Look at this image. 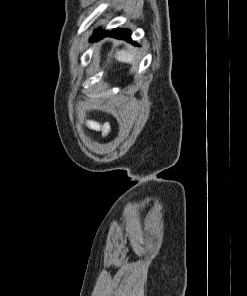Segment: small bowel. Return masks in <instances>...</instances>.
I'll return each mask as SVG.
<instances>
[{"label":"small bowel","mask_w":247,"mask_h":296,"mask_svg":"<svg viewBox=\"0 0 247 296\" xmlns=\"http://www.w3.org/2000/svg\"><path fill=\"white\" fill-rule=\"evenodd\" d=\"M88 126L90 129L95 131H102L103 133H108L109 126L107 124H100L97 121H89Z\"/></svg>","instance_id":"1"}]
</instances>
